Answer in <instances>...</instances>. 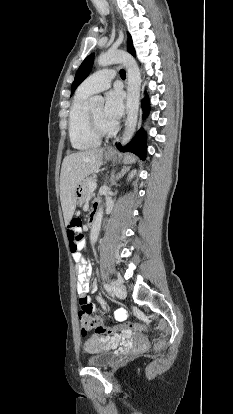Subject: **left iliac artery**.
<instances>
[{
  "label": "left iliac artery",
  "instance_id": "obj_1",
  "mask_svg": "<svg viewBox=\"0 0 233 414\" xmlns=\"http://www.w3.org/2000/svg\"><path fill=\"white\" fill-rule=\"evenodd\" d=\"M104 288L106 289V291H107L108 293H111V287H110V285H109V284H104Z\"/></svg>",
  "mask_w": 233,
  "mask_h": 414
}]
</instances>
